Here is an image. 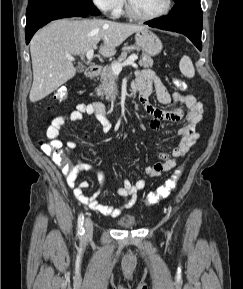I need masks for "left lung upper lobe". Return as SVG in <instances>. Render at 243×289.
I'll list each match as a JSON object with an SVG mask.
<instances>
[{
    "mask_svg": "<svg viewBox=\"0 0 243 289\" xmlns=\"http://www.w3.org/2000/svg\"><path fill=\"white\" fill-rule=\"evenodd\" d=\"M178 1H180V0H174L175 3L178 2Z\"/></svg>",
    "mask_w": 243,
    "mask_h": 289,
    "instance_id": "5c2ea615",
    "label": "left lung upper lobe"
}]
</instances>
